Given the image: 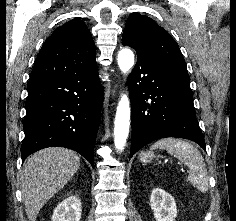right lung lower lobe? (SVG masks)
I'll return each mask as SVG.
<instances>
[{"instance_id": "98d812e1", "label": "right lung lower lobe", "mask_w": 236, "mask_h": 221, "mask_svg": "<svg viewBox=\"0 0 236 221\" xmlns=\"http://www.w3.org/2000/svg\"><path fill=\"white\" fill-rule=\"evenodd\" d=\"M102 100L98 70L29 85L22 161L40 149L59 146L77 151L94 166Z\"/></svg>"}]
</instances>
